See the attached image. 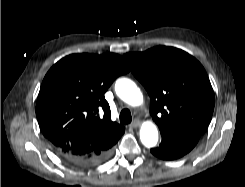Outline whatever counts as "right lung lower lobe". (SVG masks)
Segmentation results:
<instances>
[{
    "mask_svg": "<svg viewBox=\"0 0 245 187\" xmlns=\"http://www.w3.org/2000/svg\"><path fill=\"white\" fill-rule=\"evenodd\" d=\"M112 151V147L102 150L100 152L91 153L84 157H76V156H63L59 154L64 160L73 166L80 168H90L95 167L102 164L104 161L108 159Z\"/></svg>",
    "mask_w": 245,
    "mask_h": 187,
    "instance_id": "98d812e1",
    "label": "right lung lower lobe"
}]
</instances>
